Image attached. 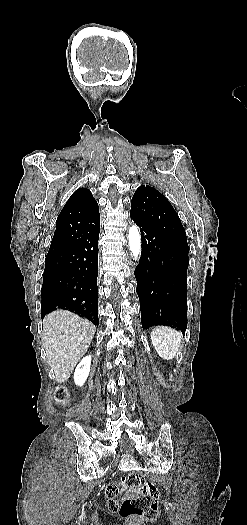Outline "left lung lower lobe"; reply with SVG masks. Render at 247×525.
I'll list each match as a JSON object with an SVG mask.
<instances>
[{
  "mask_svg": "<svg viewBox=\"0 0 247 525\" xmlns=\"http://www.w3.org/2000/svg\"><path fill=\"white\" fill-rule=\"evenodd\" d=\"M142 252L135 269L143 329L154 325L187 328L188 246L159 227L135 222Z\"/></svg>",
  "mask_w": 247,
  "mask_h": 525,
  "instance_id": "1",
  "label": "left lung lower lobe"
}]
</instances>
